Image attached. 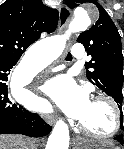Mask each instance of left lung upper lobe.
Returning a JSON list of instances; mask_svg holds the SVG:
<instances>
[{
	"mask_svg": "<svg viewBox=\"0 0 124 149\" xmlns=\"http://www.w3.org/2000/svg\"><path fill=\"white\" fill-rule=\"evenodd\" d=\"M66 5L75 8L91 2L99 9V19L89 30L83 32L77 41L82 43L91 60L86 62L88 80L111 96L122 112L123 54L118 30L105 9L96 0H65ZM120 128L124 131L123 119Z\"/></svg>",
	"mask_w": 124,
	"mask_h": 149,
	"instance_id": "1",
	"label": "left lung upper lobe"
}]
</instances>
